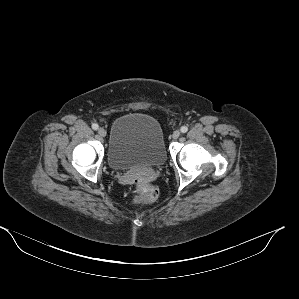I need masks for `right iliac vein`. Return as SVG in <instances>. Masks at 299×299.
Returning a JSON list of instances; mask_svg holds the SVG:
<instances>
[{"mask_svg": "<svg viewBox=\"0 0 299 299\" xmlns=\"http://www.w3.org/2000/svg\"><path fill=\"white\" fill-rule=\"evenodd\" d=\"M98 134L102 137L106 136V130L104 128H99L98 129Z\"/></svg>", "mask_w": 299, "mask_h": 299, "instance_id": "63e3f726", "label": "right iliac vein"}]
</instances>
